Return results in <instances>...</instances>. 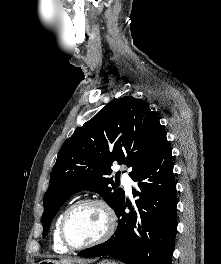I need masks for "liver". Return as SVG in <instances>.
<instances>
[{
  "label": "liver",
  "mask_w": 221,
  "mask_h": 264,
  "mask_svg": "<svg viewBox=\"0 0 221 264\" xmlns=\"http://www.w3.org/2000/svg\"><path fill=\"white\" fill-rule=\"evenodd\" d=\"M73 261H76V262H84L83 260H79V259H77V260H67V259H63V260H61V262H64V263H69V262H73Z\"/></svg>",
  "instance_id": "6515ba94"
}]
</instances>
